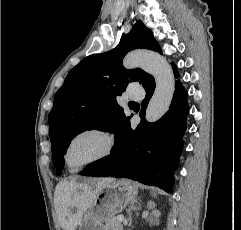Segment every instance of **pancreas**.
<instances>
[{"label":"pancreas","instance_id":"pancreas-1","mask_svg":"<svg viewBox=\"0 0 241 230\" xmlns=\"http://www.w3.org/2000/svg\"><path fill=\"white\" fill-rule=\"evenodd\" d=\"M107 230H123V225L116 217L111 218L106 222Z\"/></svg>","mask_w":241,"mask_h":230}]
</instances>
